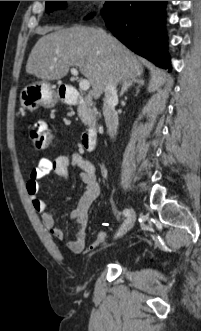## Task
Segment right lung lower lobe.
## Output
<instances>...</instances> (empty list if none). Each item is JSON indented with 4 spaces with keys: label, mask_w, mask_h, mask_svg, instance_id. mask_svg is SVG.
Listing matches in <instances>:
<instances>
[{
    "label": "right lung lower lobe",
    "mask_w": 201,
    "mask_h": 331,
    "mask_svg": "<svg viewBox=\"0 0 201 331\" xmlns=\"http://www.w3.org/2000/svg\"><path fill=\"white\" fill-rule=\"evenodd\" d=\"M102 14L108 29L128 48L169 67L165 1H106Z\"/></svg>",
    "instance_id": "1"
}]
</instances>
